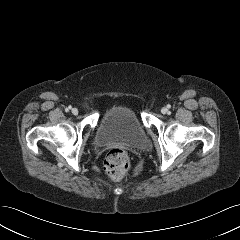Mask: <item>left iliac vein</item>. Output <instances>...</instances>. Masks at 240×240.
Masks as SVG:
<instances>
[{
	"mask_svg": "<svg viewBox=\"0 0 240 240\" xmlns=\"http://www.w3.org/2000/svg\"><path fill=\"white\" fill-rule=\"evenodd\" d=\"M161 112H162L163 114H166V113L168 112V109H167L166 107H163V108L161 109Z\"/></svg>",
	"mask_w": 240,
	"mask_h": 240,
	"instance_id": "left-iliac-vein-1",
	"label": "left iliac vein"
}]
</instances>
